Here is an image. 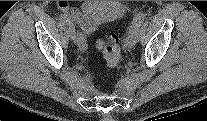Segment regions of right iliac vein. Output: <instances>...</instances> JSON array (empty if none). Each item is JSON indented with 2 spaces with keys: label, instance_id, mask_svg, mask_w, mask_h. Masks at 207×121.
I'll return each mask as SVG.
<instances>
[{
  "label": "right iliac vein",
  "instance_id": "1",
  "mask_svg": "<svg viewBox=\"0 0 207 121\" xmlns=\"http://www.w3.org/2000/svg\"><path fill=\"white\" fill-rule=\"evenodd\" d=\"M68 34H69L71 40H72L74 43H78V44H79V42H78V38H79V37H78V35H77L75 26H74L73 24H70V25H69V28H68ZM80 48H81V49H84L85 46H82V47H80Z\"/></svg>",
  "mask_w": 207,
  "mask_h": 121
}]
</instances>
